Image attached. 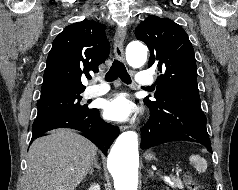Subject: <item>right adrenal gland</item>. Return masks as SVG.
Wrapping results in <instances>:
<instances>
[{
    "label": "right adrenal gland",
    "instance_id": "obj_1",
    "mask_svg": "<svg viewBox=\"0 0 238 190\" xmlns=\"http://www.w3.org/2000/svg\"><path fill=\"white\" fill-rule=\"evenodd\" d=\"M94 168H96V169H98V170H101V167H100V165L98 164V159H97V157L94 159V163H93L92 167L90 168V171H89V174H90V175H93Z\"/></svg>",
    "mask_w": 238,
    "mask_h": 190
}]
</instances>
